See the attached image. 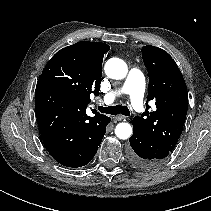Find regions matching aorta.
Segmentation results:
<instances>
[{"instance_id":"1","label":"aorta","mask_w":211,"mask_h":211,"mask_svg":"<svg viewBox=\"0 0 211 211\" xmlns=\"http://www.w3.org/2000/svg\"><path fill=\"white\" fill-rule=\"evenodd\" d=\"M105 73L112 79H123L128 73L126 63L119 58L109 59L104 67ZM115 134L119 139L125 140L132 135V126L129 123L121 122L115 128Z\"/></svg>"}]
</instances>
